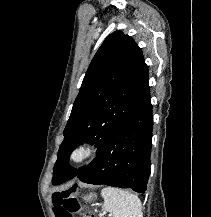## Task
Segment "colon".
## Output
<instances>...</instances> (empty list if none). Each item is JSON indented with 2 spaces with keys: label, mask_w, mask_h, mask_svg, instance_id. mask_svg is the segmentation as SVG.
<instances>
[{
  "label": "colon",
  "mask_w": 211,
  "mask_h": 217,
  "mask_svg": "<svg viewBox=\"0 0 211 217\" xmlns=\"http://www.w3.org/2000/svg\"><path fill=\"white\" fill-rule=\"evenodd\" d=\"M76 186L54 193L52 196L53 209L56 217H73L81 214L82 217H96L91 212H84L75 196Z\"/></svg>",
  "instance_id": "colon-1"
}]
</instances>
